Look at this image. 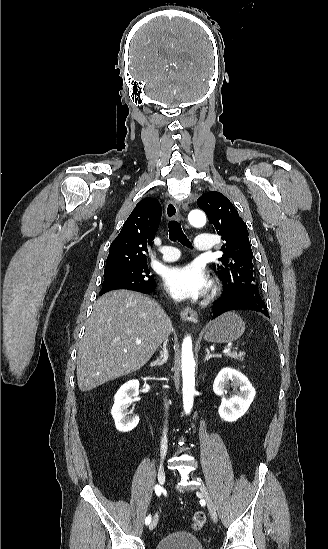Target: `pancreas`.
I'll return each mask as SVG.
<instances>
[{
  "label": "pancreas",
  "instance_id": "cf45deb5",
  "mask_svg": "<svg viewBox=\"0 0 328 549\" xmlns=\"http://www.w3.org/2000/svg\"><path fill=\"white\" fill-rule=\"evenodd\" d=\"M227 357L236 359V361H244L245 353H237V351H232V353H227Z\"/></svg>",
  "mask_w": 328,
  "mask_h": 549
}]
</instances>
